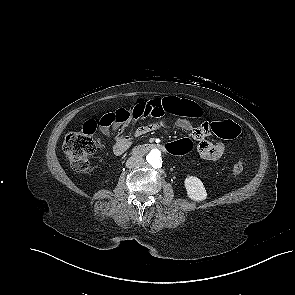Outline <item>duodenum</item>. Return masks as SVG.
Instances as JSON below:
<instances>
[{"instance_id": "410a0bca", "label": "duodenum", "mask_w": 295, "mask_h": 295, "mask_svg": "<svg viewBox=\"0 0 295 295\" xmlns=\"http://www.w3.org/2000/svg\"><path fill=\"white\" fill-rule=\"evenodd\" d=\"M151 150H162L161 144L158 143H146V144H141L133 148V154L134 155H143Z\"/></svg>"}]
</instances>
